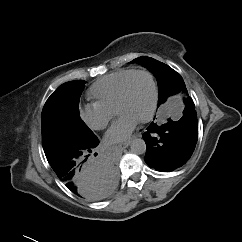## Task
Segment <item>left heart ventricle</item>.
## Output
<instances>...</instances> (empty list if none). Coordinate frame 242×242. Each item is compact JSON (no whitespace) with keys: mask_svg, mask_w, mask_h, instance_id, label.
<instances>
[{"mask_svg":"<svg viewBox=\"0 0 242 242\" xmlns=\"http://www.w3.org/2000/svg\"><path fill=\"white\" fill-rule=\"evenodd\" d=\"M152 101V86L144 74L135 75L129 82L127 95L119 108V115H129L138 121L145 117Z\"/></svg>","mask_w":242,"mask_h":242,"instance_id":"left-heart-ventricle-1","label":"left heart ventricle"}]
</instances>
